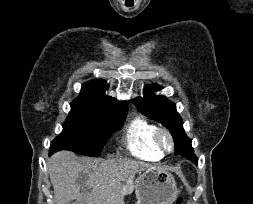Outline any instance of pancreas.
I'll return each mask as SVG.
<instances>
[{
    "instance_id": "pancreas-1",
    "label": "pancreas",
    "mask_w": 253,
    "mask_h": 204,
    "mask_svg": "<svg viewBox=\"0 0 253 204\" xmlns=\"http://www.w3.org/2000/svg\"><path fill=\"white\" fill-rule=\"evenodd\" d=\"M134 185L132 181H128L126 185L123 186L122 192L123 194H131L133 192Z\"/></svg>"
}]
</instances>
